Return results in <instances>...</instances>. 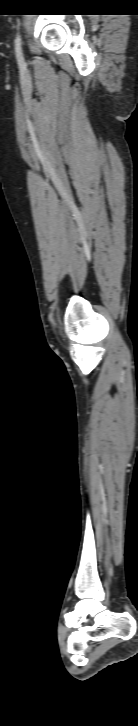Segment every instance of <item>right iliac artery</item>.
<instances>
[{"instance_id":"1","label":"right iliac artery","mask_w":138,"mask_h":726,"mask_svg":"<svg viewBox=\"0 0 138 726\" xmlns=\"http://www.w3.org/2000/svg\"><path fill=\"white\" fill-rule=\"evenodd\" d=\"M15 52H16V57H17L18 63L20 65H22L24 63V58H23V54H22V50H21V38L19 35L17 36V38L15 40Z\"/></svg>"}]
</instances>
